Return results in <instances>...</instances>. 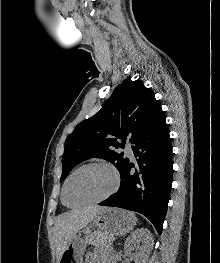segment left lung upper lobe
<instances>
[{"label": "left lung upper lobe", "mask_w": 220, "mask_h": 263, "mask_svg": "<svg viewBox=\"0 0 220 263\" xmlns=\"http://www.w3.org/2000/svg\"><path fill=\"white\" fill-rule=\"evenodd\" d=\"M163 117L161 105L151 89L139 80H124L115 88L102 109L79 123L67 137L61 181L74 166L93 157L108 160L121 174L128 158L114 149L122 147L126 138L135 144ZM118 139H123L122 143Z\"/></svg>", "instance_id": "5c2ea615"}]
</instances>
